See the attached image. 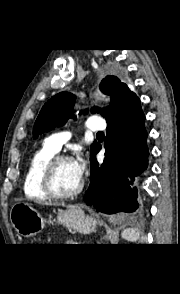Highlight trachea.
Here are the masks:
<instances>
[{
    "label": "trachea",
    "instance_id": "1",
    "mask_svg": "<svg viewBox=\"0 0 180 294\" xmlns=\"http://www.w3.org/2000/svg\"><path fill=\"white\" fill-rule=\"evenodd\" d=\"M97 135H103V132H98Z\"/></svg>",
    "mask_w": 180,
    "mask_h": 294
}]
</instances>
